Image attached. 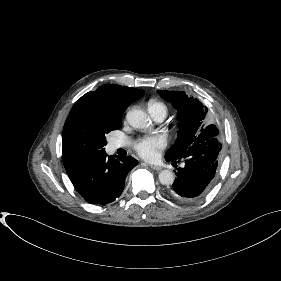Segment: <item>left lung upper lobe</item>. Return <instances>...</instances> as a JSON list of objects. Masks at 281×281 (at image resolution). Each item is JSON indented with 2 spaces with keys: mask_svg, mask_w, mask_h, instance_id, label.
<instances>
[{
  "mask_svg": "<svg viewBox=\"0 0 281 281\" xmlns=\"http://www.w3.org/2000/svg\"><path fill=\"white\" fill-rule=\"evenodd\" d=\"M158 93L171 102L181 121L177 140L166 152L165 159L180 160L193 144L218 138L216 126L206 124L208 109L198 99L187 96L183 91L158 90Z\"/></svg>",
  "mask_w": 281,
  "mask_h": 281,
  "instance_id": "1",
  "label": "left lung upper lobe"
}]
</instances>
